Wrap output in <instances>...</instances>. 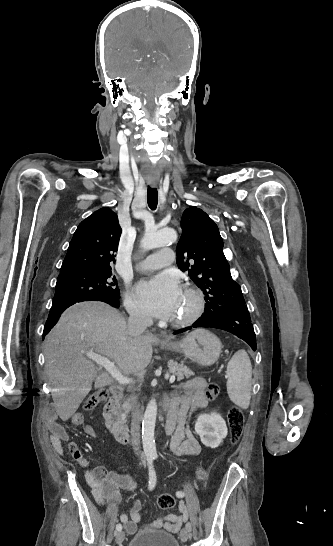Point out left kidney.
<instances>
[{"label": "left kidney", "mask_w": 333, "mask_h": 546, "mask_svg": "<svg viewBox=\"0 0 333 546\" xmlns=\"http://www.w3.org/2000/svg\"><path fill=\"white\" fill-rule=\"evenodd\" d=\"M195 432L200 436L201 442L211 448H216L223 443L228 430L225 420L216 412L201 414L195 423Z\"/></svg>", "instance_id": "5707ae66"}]
</instances>
